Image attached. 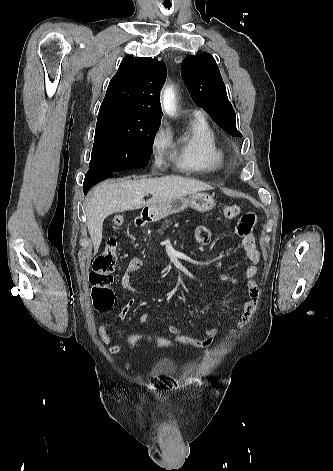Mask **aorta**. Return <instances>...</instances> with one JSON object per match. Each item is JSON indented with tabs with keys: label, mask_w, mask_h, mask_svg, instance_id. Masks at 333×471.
Listing matches in <instances>:
<instances>
[{
	"label": "aorta",
	"mask_w": 333,
	"mask_h": 471,
	"mask_svg": "<svg viewBox=\"0 0 333 471\" xmlns=\"http://www.w3.org/2000/svg\"><path fill=\"white\" fill-rule=\"evenodd\" d=\"M174 92L171 87H167L162 95V107L169 115L173 114L175 110Z\"/></svg>",
	"instance_id": "1"
}]
</instances>
